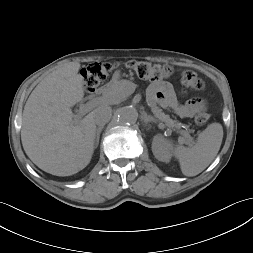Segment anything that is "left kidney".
I'll return each instance as SVG.
<instances>
[{"label":"left kidney","mask_w":253,"mask_h":253,"mask_svg":"<svg viewBox=\"0 0 253 253\" xmlns=\"http://www.w3.org/2000/svg\"><path fill=\"white\" fill-rule=\"evenodd\" d=\"M171 143L162 135L154 136L152 142V152L156 159L168 163L171 158Z\"/></svg>","instance_id":"5707ae66"}]
</instances>
